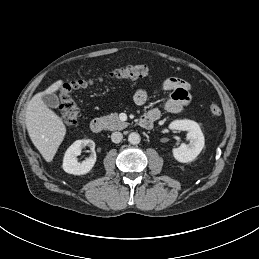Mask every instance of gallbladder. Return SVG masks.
Instances as JSON below:
<instances>
[{
    "mask_svg": "<svg viewBox=\"0 0 259 259\" xmlns=\"http://www.w3.org/2000/svg\"><path fill=\"white\" fill-rule=\"evenodd\" d=\"M42 101L49 108H57L59 106V98L56 94L53 93H45L42 96Z\"/></svg>",
    "mask_w": 259,
    "mask_h": 259,
    "instance_id": "gallbladder-1",
    "label": "gallbladder"
}]
</instances>
